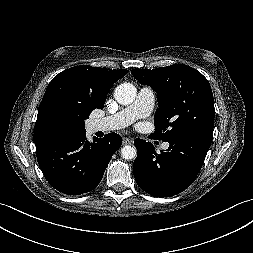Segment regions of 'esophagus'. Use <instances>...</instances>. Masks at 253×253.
Masks as SVG:
<instances>
[{
  "instance_id": "34e87169",
  "label": "esophagus",
  "mask_w": 253,
  "mask_h": 253,
  "mask_svg": "<svg viewBox=\"0 0 253 253\" xmlns=\"http://www.w3.org/2000/svg\"><path fill=\"white\" fill-rule=\"evenodd\" d=\"M131 144H133L132 138H128V137L123 138V145H131Z\"/></svg>"
}]
</instances>
